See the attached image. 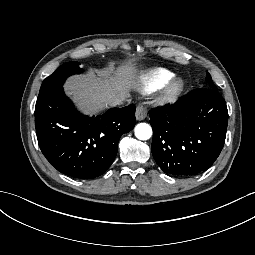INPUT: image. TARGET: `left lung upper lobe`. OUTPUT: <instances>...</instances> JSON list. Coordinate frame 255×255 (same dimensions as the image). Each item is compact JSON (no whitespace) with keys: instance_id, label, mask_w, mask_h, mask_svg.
Returning <instances> with one entry per match:
<instances>
[{"instance_id":"5c2ea615","label":"left lung upper lobe","mask_w":255,"mask_h":255,"mask_svg":"<svg viewBox=\"0 0 255 255\" xmlns=\"http://www.w3.org/2000/svg\"><path fill=\"white\" fill-rule=\"evenodd\" d=\"M207 75H206V81H207V85L209 88H213V89H217V87L214 85L212 79H211V76L208 72H206Z\"/></svg>"}]
</instances>
